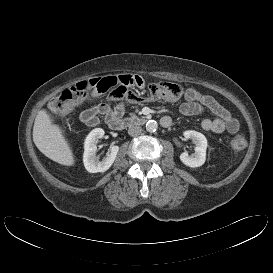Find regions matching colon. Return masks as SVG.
<instances>
[{
    "label": "colon",
    "mask_w": 273,
    "mask_h": 273,
    "mask_svg": "<svg viewBox=\"0 0 273 273\" xmlns=\"http://www.w3.org/2000/svg\"><path fill=\"white\" fill-rule=\"evenodd\" d=\"M137 81V76L128 74L81 81L53 98L49 106L50 114L55 119H63L74 107L89 102L94 94L106 92H109V97L113 100L127 99L136 102V93L129 88L136 85ZM148 89L151 99L175 100L183 93V87L175 82L151 83ZM246 146L247 140L243 134H238L231 140V147L236 152L243 151Z\"/></svg>",
    "instance_id": "colon-1"
}]
</instances>
